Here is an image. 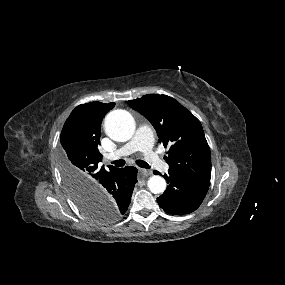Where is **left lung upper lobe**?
I'll list each match as a JSON object with an SVG mask.
<instances>
[{
	"mask_svg": "<svg viewBox=\"0 0 285 285\" xmlns=\"http://www.w3.org/2000/svg\"><path fill=\"white\" fill-rule=\"evenodd\" d=\"M129 105L155 128L159 142L168 146L170 170L183 177L210 182L211 154L200 121L174 98L149 94Z\"/></svg>",
	"mask_w": 285,
	"mask_h": 285,
	"instance_id": "obj_1",
	"label": "left lung upper lobe"
}]
</instances>
